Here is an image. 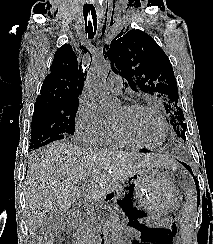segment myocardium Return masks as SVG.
Returning a JSON list of instances; mask_svg holds the SVG:
<instances>
[{"instance_id":"f54148a6","label":"myocardium","mask_w":213,"mask_h":244,"mask_svg":"<svg viewBox=\"0 0 213 244\" xmlns=\"http://www.w3.org/2000/svg\"><path fill=\"white\" fill-rule=\"evenodd\" d=\"M124 107L128 110H146V111L152 113L162 127L163 137L157 144H153V145L144 144V143H141V142H138V141H135V140L129 138L115 124L112 123V128H113L114 134L122 143L126 144L127 146L135 147V148L155 149L157 147H160L165 142V140L167 138V134H168L167 126H166L165 122L163 121L162 117L160 116V114L153 107H151L149 105L141 104V103L127 104Z\"/></svg>"}]
</instances>
